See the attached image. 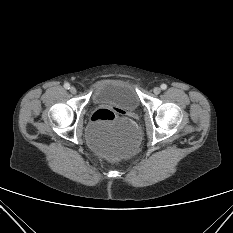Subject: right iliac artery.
<instances>
[{
    "label": "right iliac artery",
    "instance_id": "obj_1",
    "mask_svg": "<svg viewBox=\"0 0 233 233\" xmlns=\"http://www.w3.org/2000/svg\"><path fill=\"white\" fill-rule=\"evenodd\" d=\"M64 88H65V89H69V88H70V84H69V83H65V84H64Z\"/></svg>",
    "mask_w": 233,
    "mask_h": 233
}]
</instances>
